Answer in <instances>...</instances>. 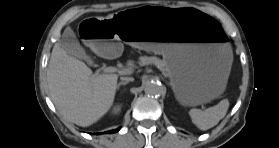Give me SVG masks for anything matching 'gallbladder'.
<instances>
[{
  "mask_svg": "<svg viewBox=\"0 0 279 148\" xmlns=\"http://www.w3.org/2000/svg\"><path fill=\"white\" fill-rule=\"evenodd\" d=\"M58 43L60 44L61 48L66 51L68 55L79 59H88L85 50L80 45L74 31L71 28L65 29Z\"/></svg>",
  "mask_w": 279,
  "mask_h": 148,
  "instance_id": "bac80fb5",
  "label": "gallbladder"
}]
</instances>
